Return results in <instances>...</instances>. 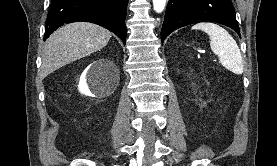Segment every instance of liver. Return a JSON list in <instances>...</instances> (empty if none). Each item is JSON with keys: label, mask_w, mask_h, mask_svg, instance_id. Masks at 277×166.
I'll use <instances>...</instances> for the list:
<instances>
[{"label": "liver", "mask_w": 277, "mask_h": 166, "mask_svg": "<svg viewBox=\"0 0 277 166\" xmlns=\"http://www.w3.org/2000/svg\"><path fill=\"white\" fill-rule=\"evenodd\" d=\"M110 38V31L96 24L77 22L62 26L45 42L41 77L99 51Z\"/></svg>", "instance_id": "1"}]
</instances>
